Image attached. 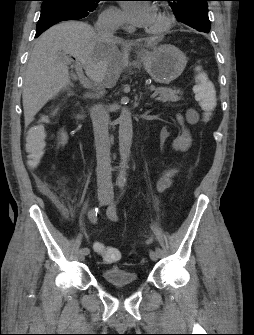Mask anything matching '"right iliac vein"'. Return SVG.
<instances>
[{"mask_svg":"<svg viewBox=\"0 0 254 335\" xmlns=\"http://www.w3.org/2000/svg\"><path fill=\"white\" fill-rule=\"evenodd\" d=\"M98 199H99V202L102 205H105V204H107L109 202V195H108L107 192H100L98 194ZM85 256H86V254H85V252L82 249L78 250V252H77V259L79 261H83L85 259Z\"/></svg>","mask_w":254,"mask_h":335,"instance_id":"right-iliac-vein-1","label":"right iliac vein"}]
</instances>
